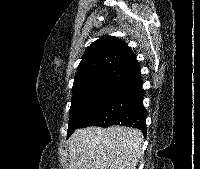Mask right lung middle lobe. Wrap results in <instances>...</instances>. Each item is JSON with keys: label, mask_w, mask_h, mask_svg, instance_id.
Wrapping results in <instances>:
<instances>
[{"label": "right lung middle lobe", "mask_w": 200, "mask_h": 169, "mask_svg": "<svg viewBox=\"0 0 200 169\" xmlns=\"http://www.w3.org/2000/svg\"><path fill=\"white\" fill-rule=\"evenodd\" d=\"M117 84L99 83L74 94L70 107L67 137L106 101Z\"/></svg>", "instance_id": "right-lung-middle-lobe-1"}]
</instances>
